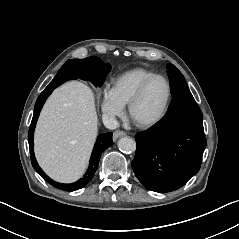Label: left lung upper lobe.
Listing matches in <instances>:
<instances>
[{"instance_id": "1", "label": "left lung upper lobe", "mask_w": 239, "mask_h": 239, "mask_svg": "<svg viewBox=\"0 0 239 239\" xmlns=\"http://www.w3.org/2000/svg\"><path fill=\"white\" fill-rule=\"evenodd\" d=\"M168 75L170 78L173 95L189 90L182 73L172 64H168Z\"/></svg>"}]
</instances>
